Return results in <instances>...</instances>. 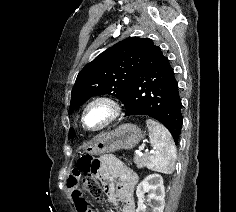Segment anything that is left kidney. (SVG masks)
<instances>
[{"instance_id": "left-kidney-1", "label": "left kidney", "mask_w": 236, "mask_h": 212, "mask_svg": "<svg viewBox=\"0 0 236 212\" xmlns=\"http://www.w3.org/2000/svg\"><path fill=\"white\" fill-rule=\"evenodd\" d=\"M149 193L148 201L152 203L150 207L152 212H163L165 206V188L163 178L159 174L148 175L142 182L139 183L136 190L138 197V207L136 212H145L144 194Z\"/></svg>"}]
</instances>
